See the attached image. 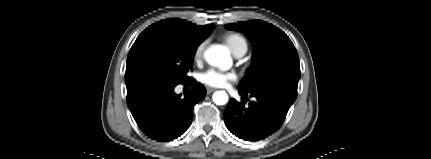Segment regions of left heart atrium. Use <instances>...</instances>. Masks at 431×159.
I'll return each instance as SVG.
<instances>
[{
  "label": "left heart atrium",
  "mask_w": 431,
  "mask_h": 159,
  "mask_svg": "<svg viewBox=\"0 0 431 159\" xmlns=\"http://www.w3.org/2000/svg\"><path fill=\"white\" fill-rule=\"evenodd\" d=\"M233 79H235L234 73L216 69H209L201 74V81L210 87H224Z\"/></svg>",
  "instance_id": "left-heart-atrium-1"
}]
</instances>
